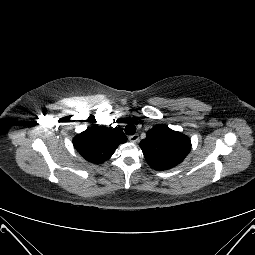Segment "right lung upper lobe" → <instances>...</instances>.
Masks as SVG:
<instances>
[{
    "mask_svg": "<svg viewBox=\"0 0 255 255\" xmlns=\"http://www.w3.org/2000/svg\"><path fill=\"white\" fill-rule=\"evenodd\" d=\"M126 141L121 128L95 125L76 135L73 145L85 160L101 164L112 156L119 144Z\"/></svg>",
    "mask_w": 255,
    "mask_h": 255,
    "instance_id": "1",
    "label": "right lung upper lobe"
}]
</instances>
